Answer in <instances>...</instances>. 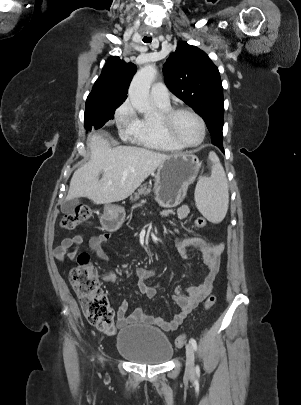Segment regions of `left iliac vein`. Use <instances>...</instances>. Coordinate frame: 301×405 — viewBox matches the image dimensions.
<instances>
[{"mask_svg":"<svg viewBox=\"0 0 301 405\" xmlns=\"http://www.w3.org/2000/svg\"><path fill=\"white\" fill-rule=\"evenodd\" d=\"M186 368L185 373L187 376H193L195 367H194V349L191 343L186 344Z\"/></svg>","mask_w":301,"mask_h":405,"instance_id":"4c4485c4","label":"left iliac vein"}]
</instances>
